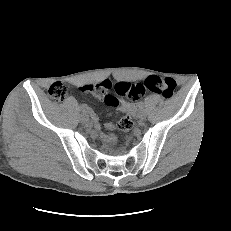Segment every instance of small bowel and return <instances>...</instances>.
Segmentation results:
<instances>
[{"label":"small bowel","mask_w":231,"mask_h":231,"mask_svg":"<svg viewBox=\"0 0 231 231\" xmlns=\"http://www.w3.org/2000/svg\"><path fill=\"white\" fill-rule=\"evenodd\" d=\"M98 84L99 83H97V84H84V85H81L79 87V90L82 91V92H91V93L96 94L99 97H102L103 95L96 89V86ZM118 105L120 106V109L123 112H127L129 114H134L135 113V105L130 103V102L118 99ZM113 128H114V124H112V123L106 125V132L103 134V138H104L105 141L111 142V143L116 141V137L111 132V130Z\"/></svg>","instance_id":"obj_1"}]
</instances>
